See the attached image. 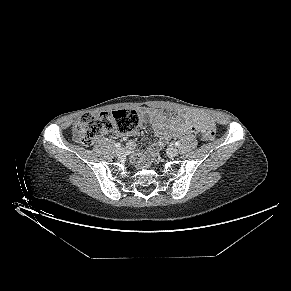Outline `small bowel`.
Returning <instances> with one entry per match:
<instances>
[{"mask_svg": "<svg viewBox=\"0 0 291 291\" xmlns=\"http://www.w3.org/2000/svg\"><path fill=\"white\" fill-rule=\"evenodd\" d=\"M141 114L152 126L160 139V141L150 149V158L154 155L155 150L169 138L195 132H203L208 127L213 126L211 120L193 111L181 112L176 116L167 117L157 109L146 108L141 110ZM128 146L129 148H133L134 143L130 142Z\"/></svg>", "mask_w": 291, "mask_h": 291, "instance_id": "small-bowel-1", "label": "small bowel"}]
</instances>
